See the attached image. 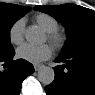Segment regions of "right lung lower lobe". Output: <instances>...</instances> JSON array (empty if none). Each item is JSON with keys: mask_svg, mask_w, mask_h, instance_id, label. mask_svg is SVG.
<instances>
[{"mask_svg": "<svg viewBox=\"0 0 95 95\" xmlns=\"http://www.w3.org/2000/svg\"><path fill=\"white\" fill-rule=\"evenodd\" d=\"M15 52L0 57L1 63H8L7 70L0 71V95H19L22 81L34 72V67L29 62L18 59L12 61Z\"/></svg>", "mask_w": 95, "mask_h": 95, "instance_id": "obj_1", "label": "right lung lower lobe"}]
</instances>
